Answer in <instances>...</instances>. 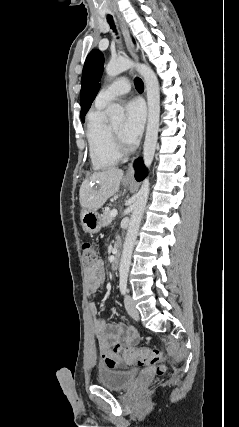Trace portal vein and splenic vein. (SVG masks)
<instances>
[{
  "label": "portal vein and splenic vein",
  "mask_w": 239,
  "mask_h": 427,
  "mask_svg": "<svg viewBox=\"0 0 239 427\" xmlns=\"http://www.w3.org/2000/svg\"><path fill=\"white\" fill-rule=\"evenodd\" d=\"M117 214H118V212H117V210L116 209H113L112 211H111V217H116L117 216Z\"/></svg>",
  "instance_id": "portal-vein-and-splenic-vein-1"
}]
</instances>
